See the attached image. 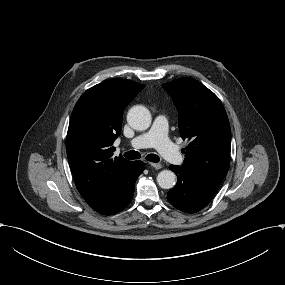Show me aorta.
I'll use <instances>...</instances> for the list:
<instances>
[{
    "instance_id": "1",
    "label": "aorta",
    "mask_w": 285,
    "mask_h": 285,
    "mask_svg": "<svg viewBox=\"0 0 285 285\" xmlns=\"http://www.w3.org/2000/svg\"><path fill=\"white\" fill-rule=\"evenodd\" d=\"M152 121L149 110L143 106L132 107L127 114L128 124L137 131L150 127ZM176 175L171 170H163L157 175L158 185L163 189H171L175 185Z\"/></svg>"
}]
</instances>
